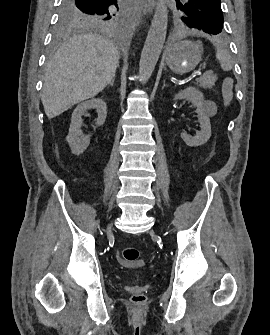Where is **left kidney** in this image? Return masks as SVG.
I'll return each instance as SVG.
<instances>
[{
    "label": "left kidney",
    "mask_w": 270,
    "mask_h": 335,
    "mask_svg": "<svg viewBox=\"0 0 270 335\" xmlns=\"http://www.w3.org/2000/svg\"><path fill=\"white\" fill-rule=\"evenodd\" d=\"M189 100L192 102L193 106H196L197 110V118L200 124V132H196V136H189L186 132H182L181 138L184 140L187 146H191V148H196V146H203L208 142L211 136V124L210 120L206 114V110H204V98L202 92L196 90V88H186V90H181L179 94H176L174 100Z\"/></svg>",
    "instance_id": "1"
}]
</instances>
